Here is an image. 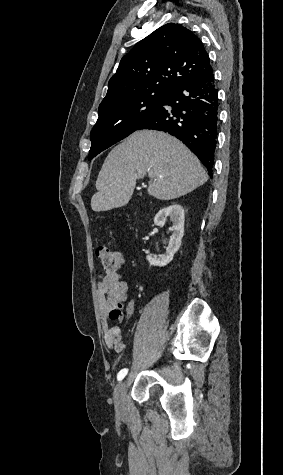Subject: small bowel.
Masks as SVG:
<instances>
[{
	"mask_svg": "<svg viewBox=\"0 0 283 475\" xmlns=\"http://www.w3.org/2000/svg\"><path fill=\"white\" fill-rule=\"evenodd\" d=\"M128 284L118 273L107 272L99 277L96 288L97 306L103 331V340L106 347L115 353L124 351L122 337V314L114 311L118 305L127 302ZM135 306L132 301L127 302V322L134 314Z\"/></svg>",
	"mask_w": 283,
	"mask_h": 475,
	"instance_id": "small-bowel-1",
	"label": "small bowel"
}]
</instances>
